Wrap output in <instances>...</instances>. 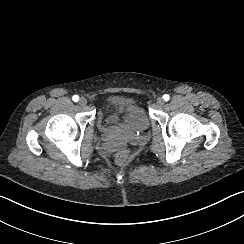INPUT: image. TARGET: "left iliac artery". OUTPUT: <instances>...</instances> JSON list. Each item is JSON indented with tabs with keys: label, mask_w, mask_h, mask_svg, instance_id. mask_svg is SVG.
I'll list each match as a JSON object with an SVG mask.
<instances>
[{
	"label": "left iliac artery",
	"mask_w": 244,
	"mask_h": 244,
	"mask_svg": "<svg viewBox=\"0 0 244 244\" xmlns=\"http://www.w3.org/2000/svg\"><path fill=\"white\" fill-rule=\"evenodd\" d=\"M169 98H170L169 95H167V94L163 95V99H164L165 101H168Z\"/></svg>",
	"instance_id": "left-iliac-artery-1"
}]
</instances>
